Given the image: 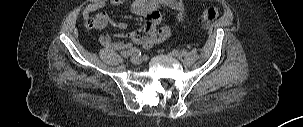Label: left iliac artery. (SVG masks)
Here are the masks:
<instances>
[{"label": "left iliac artery", "mask_w": 303, "mask_h": 127, "mask_svg": "<svg viewBox=\"0 0 303 127\" xmlns=\"http://www.w3.org/2000/svg\"><path fill=\"white\" fill-rule=\"evenodd\" d=\"M180 53H181L182 56H185L187 54V51L185 49H183V50L180 51Z\"/></svg>", "instance_id": "1"}]
</instances>
